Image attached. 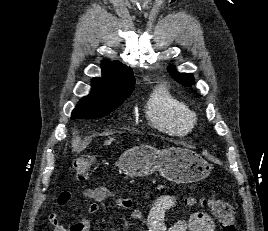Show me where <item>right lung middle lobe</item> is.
<instances>
[{
  "instance_id": "obj_1",
  "label": "right lung middle lobe",
  "mask_w": 268,
  "mask_h": 231,
  "mask_svg": "<svg viewBox=\"0 0 268 231\" xmlns=\"http://www.w3.org/2000/svg\"><path fill=\"white\" fill-rule=\"evenodd\" d=\"M123 102L110 103H89L78 106L73 110L71 119L100 118L108 115L119 107Z\"/></svg>"
}]
</instances>
